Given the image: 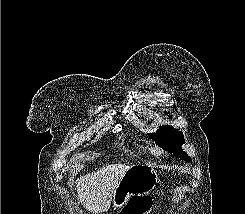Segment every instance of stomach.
<instances>
[{
	"label": "stomach",
	"mask_w": 245,
	"mask_h": 214,
	"mask_svg": "<svg viewBox=\"0 0 245 214\" xmlns=\"http://www.w3.org/2000/svg\"><path fill=\"white\" fill-rule=\"evenodd\" d=\"M158 183V174L152 166L144 164L131 166L118 183L113 195V206L121 208L131 196L149 194Z\"/></svg>",
	"instance_id": "1"
}]
</instances>
